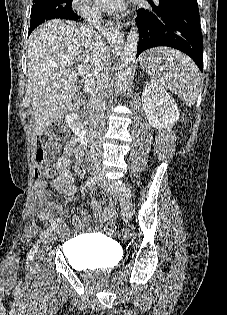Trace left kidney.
Returning <instances> with one entry per match:
<instances>
[{"mask_svg": "<svg viewBox=\"0 0 227 315\" xmlns=\"http://www.w3.org/2000/svg\"><path fill=\"white\" fill-rule=\"evenodd\" d=\"M142 107L148 122L157 129L174 125L180 116L174 99L155 81L146 83L142 92Z\"/></svg>", "mask_w": 227, "mask_h": 315, "instance_id": "obj_1", "label": "left kidney"}]
</instances>
